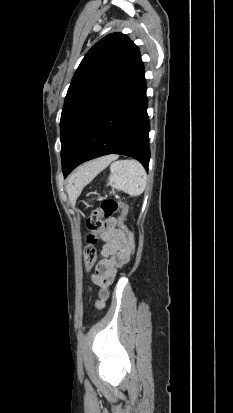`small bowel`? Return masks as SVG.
Returning a JSON list of instances; mask_svg holds the SVG:
<instances>
[{
  "mask_svg": "<svg viewBox=\"0 0 233 413\" xmlns=\"http://www.w3.org/2000/svg\"><path fill=\"white\" fill-rule=\"evenodd\" d=\"M116 220H106V229L103 232V246L101 248V259L99 260L94 282L101 288V298L104 300L108 295V286L113 282L117 268L123 266L130 259L127 249L126 237L117 229ZM102 301L98 303L99 306Z\"/></svg>",
  "mask_w": 233,
  "mask_h": 413,
  "instance_id": "1",
  "label": "small bowel"
}]
</instances>
